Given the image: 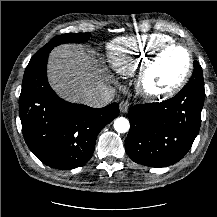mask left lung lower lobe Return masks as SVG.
<instances>
[{
	"label": "left lung lower lobe",
	"instance_id": "1",
	"mask_svg": "<svg viewBox=\"0 0 217 217\" xmlns=\"http://www.w3.org/2000/svg\"><path fill=\"white\" fill-rule=\"evenodd\" d=\"M204 99V89L188 83L171 99L133 106L125 141L129 157L151 167L169 166L182 159L199 132Z\"/></svg>",
	"mask_w": 217,
	"mask_h": 217
}]
</instances>
